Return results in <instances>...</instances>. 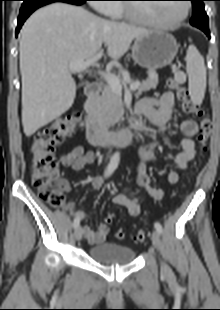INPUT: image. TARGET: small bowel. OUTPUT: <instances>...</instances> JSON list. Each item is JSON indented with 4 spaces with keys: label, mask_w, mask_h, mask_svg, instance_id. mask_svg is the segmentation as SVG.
<instances>
[{
    "label": "small bowel",
    "mask_w": 220,
    "mask_h": 310,
    "mask_svg": "<svg viewBox=\"0 0 220 310\" xmlns=\"http://www.w3.org/2000/svg\"><path fill=\"white\" fill-rule=\"evenodd\" d=\"M175 96L173 92L167 91L158 99L144 98L140 100L135 107L137 114L145 117L147 121L157 126L160 132L164 135L165 143L171 145L172 142L167 136L168 125L173 116ZM181 131L183 137L179 140L181 151L175 157L176 169L168 173V181L171 184H176L180 180V171L187 169L189 163L196 155V147L193 137L198 132V124L195 120L186 119L181 123ZM157 142H151L140 148V162L137 167V184L144 188L151 198L160 200L164 191L159 186H152L150 177L146 172V166L149 162H155L154 149L157 147ZM96 155L92 151H85L83 147L76 146L67 153H63L59 157L60 163L65 167H70L74 171L82 169L88 164L94 163ZM92 185L99 190L103 186V179L100 176H94L91 179ZM68 189V188H67ZM112 202L116 205L124 207L128 214L137 216L140 213L139 199L130 197L124 193H116L112 196ZM80 220L86 217L82 211H77L72 214ZM83 234L90 244L103 243L108 235L109 228L107 224L101 223L98 229L94 231L88 225L82 226Z\"/></svg>",
    "instance_id": "obj_1"
}]
</instances>
